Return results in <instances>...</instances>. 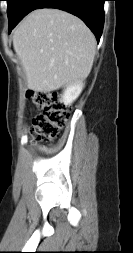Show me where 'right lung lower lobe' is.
<instances>
[{
  "label": "right lung lower lobe",
  "mask_w": 133,
  "mask_h": 253,
  "mask_svg": "<svg viewBox=\"0 0 133 253\" xmlns=\"http://www.w3.org/2000/svg\"><path fill=\"white\" fill-rule=\"evenodd\" d=\"M105 1L106 0H25L21 5L17 23L35 9L56 8L79 17L94 33L99 42L104 25Z\"/></svg>",
  "instance_id": "right-lung-lower-lobe-1"
}]
</instances>
